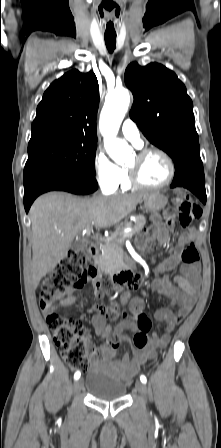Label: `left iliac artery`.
Segmentation results:
<instances>
[{
  "label": "left iliac artery",
  "mask_w": 221,
  "mask_h": 448,
  "mask_svg": "<svg viewBox=\"0 0 221 448\" xmlns=\"http://www.w3.org/2000/svg\"><path fill=\"white\" fill-rule=\"evenodd\" d=\"M140 380H141V382L144 383V384L147 382V379H146V377H145L144 375H141V376H140Z\"/></svg>",
  "instance_id": "left-iliac-artery-1"
}]
</instances>
